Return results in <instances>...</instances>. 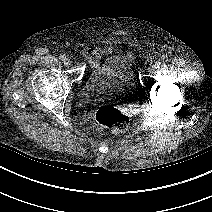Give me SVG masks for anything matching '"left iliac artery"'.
Masks as SVG:
<instances>
[{
  "label": "left iliac artery",
  "instance_id": "left-iliac-artery-1",
  "mask_svg": "<svg viewBox=\"0 0 212 212\" xmlns=\"http://www.w3.org/2000/svg\"><path fill=\"white\" fill-rule=\"evenodd\" d=\"M154 66H155V68H160L161 63L158 61V62H156V63H155V65H154Z\"/></svg>",
  "mask_w": 212,
  "mask_h": 212
}]
</instances>
